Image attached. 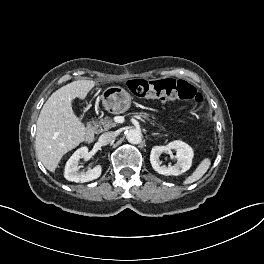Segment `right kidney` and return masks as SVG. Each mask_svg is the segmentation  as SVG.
Segmentation results:
<instances>
[{"label":"right kidney","mask_w":264,"mask_h":264,"mask_svg":"<svg viewBox=\"0 0 264 264\" xmlns=\"http://www.w3.org/2000/svg\"><path fill=\"white\" fill-rule=\"evenodd\" d=\"M88 156V148L81 147L76 150L73 155L69 158L65 165L64 177L68 181L73 182H89L100 177L102 172L101 165L95 166L93 169H89L86 172H79V160Z\"/></svg>","instance_id":"1"}]
</instances>
